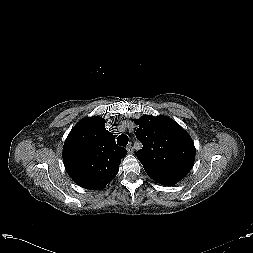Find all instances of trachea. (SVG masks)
I'll list each match as a JSON object with an SVG mask.
<instances>
[{
    "label": "trachea",
    "mask_w": 253,
    "mask_h": 253,
    "mask_svg": "<svg viewBox=\"0 0 253 253\" xmlns=\"http://www.w3.org/2000/svg\"><path fill=\"white\" fill-rule=\"evenodd\" d=\"M128 141H129V139H128V136L127 135H119L118 136V138H117V144L119 145V146H126L127 144H128Z\"/></svg>",
    "instance_id": "trachea-1"
}]
</instances>
